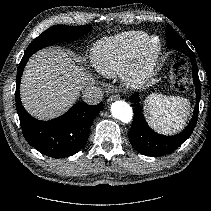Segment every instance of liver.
Masks as SVG:
<instances>
[{
  "label": "liver",
  "instance_id": "obj_1",
  "mask_svg": "<svg viewBox=\"0 0 211 211\" xmlns=\"http://www.w3.org/2000/svg\"><path fill=\"white\" fill-rule=\"evenodd\" d=\"M86 83L93 78L82 72L61 48H46L28 61L20 84L21 101L26 111L40 120L64 114L78 99Z\"/></svg>",
  "mask_w": 211,
  "mask_h": 211
}]
</instances>
